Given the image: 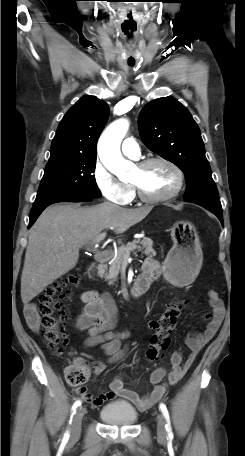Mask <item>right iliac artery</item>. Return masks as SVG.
Instances as JSON below:
<instances>
[{"label": "right iliac artery", "mask_w": 245, "mask_h": 456, "mask_svg": "<svg viewBox=\"0 0 245 456\" xmlns=\"http://www.w3.org/2000/svg\"><path fill=\"white\" fill-rule=\"evenodd\" d=\"M80 405H81V401H80V400H77V401L73 404V406H72V416H73V414H75L76 408H78ZM64 439H65V440H68V439H69V432H68V431L65 433Z\"/></svg>", "instance_id": "82829eb1"}]
</instances>
